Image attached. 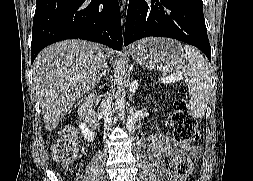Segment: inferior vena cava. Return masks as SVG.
<instances>
[{"label": "inferior vena cava", "instance_id": "602c4592", "mask_svg": "<svg viewBox=\"0 0 253 181\" xmlns=\"http://www.w3.org/2000/svg\"><path fill=\"white\" fill-rule=\"evenodd\" d=\"M112 102L111 99H105L103 102V114L105 116L106 121H109L108 127L112 128L113 127V117H112Z\"/></svg>", "mask_w": 253, "mask_h": 181}]
</instances>
